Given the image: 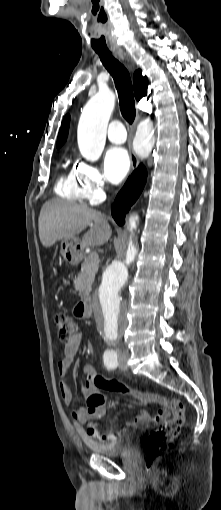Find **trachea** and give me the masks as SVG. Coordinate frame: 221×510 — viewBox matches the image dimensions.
I'll return each mask as SVG.
<instances>
[{"label": "trachea", "mask_w": 221, "mask_h": 510, "mask_svg": "<svg viewBox=\"0 0 221 510\" xmlns=\"http://www.w3.org/2000/svg\"><path fill=\"white\" fill-rule=\"evenodd\" d=\"M96 52L102 64L114 79L119 96L121 114L129 124H132L136 116V109L130 74L110 52Z\"/></svg>", "instance_id": "3493384b"}]
</instances>
